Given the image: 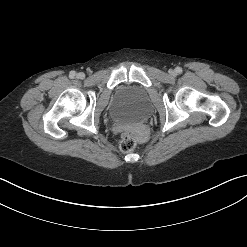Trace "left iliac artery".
<instances>
[{
  "instance_id": "44dca946",
  "label": "left iliac artery",
  "mask_w": 247,
  "mask_h": 247,
  "mask_svg": "<svg viewBox=\"0 0 247 247\" xmlns=\"http://www.w3.org/2000/svg\"><path fill=\"white\" fill-rule=\"evenodd\" d=\"M176 72H177V73H181V72H182V69L179 68V67H177V68H176Z\"/></svg>"
}]
</instances>
